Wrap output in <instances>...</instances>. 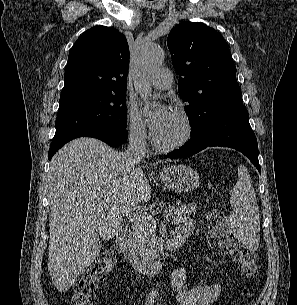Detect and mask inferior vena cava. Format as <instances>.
Listing matches in <instances>:
<instances>
[{"mask_svg": "<svg viewBox=\"0 0 297 305\" xmlns=\"http://www.w3.org/2000/svg\"><path fill=\"white\" fill-rule=\"evenodd\" d=\"M127 164L135 167L146 155V132L143 128H134L129 134V145L125 152Z\"/></svg>", "mask_w": 297, "mask_h": 305, "instance_id": "1", "label": "inferior vena cava"}]
</instances>
